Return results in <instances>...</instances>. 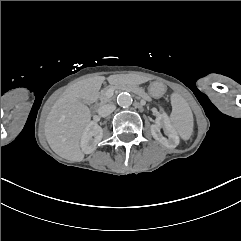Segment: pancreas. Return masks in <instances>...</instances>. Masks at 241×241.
<instances>
[{
	"mask_svg": "<svg viewBox=\"0 0 241 241\" xmlns=\"http://www.w3.org/2000/svg\"><path fill=\"white\" fill-rule=\"evenodd\" d=\"M106 92H107V88L103 89L100 93L99 99L101 104L108 103L112 100V98L106 95ZM130 92H134V94H138L147 98V101H152V95H150V93H148L147 91H143L135 87H130Z\"/></svg>",
	"mask_w": 241,
	"mask_h": 241,
	"instance_id": "obj_1",
	"label": "pancreas"
}]
</instances>
